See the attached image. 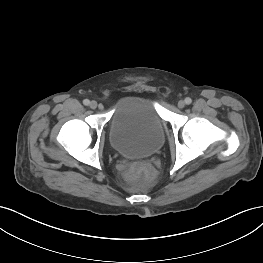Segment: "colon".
<instances>
[{
  "label": "colon",
  "mask_w": 263,
  "mask_h": 263,
  "mask_svg": "<svg viewBox=\"0 0 263 263\" xmlns=\"http://www.w3.org/2000/svg\"><path fill=\"white\" fill-rule=\"evenodd\" d=\"M131 172L136 175H141L147 180H152L156 175L155 169L145 162L136 163L132 167Z\"/></svg>",
  "instance_id": "5ec220e1"
}]
</instances>
